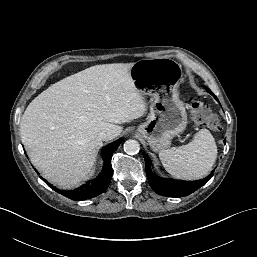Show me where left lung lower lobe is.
<instances>
[{
  "label": "left lung lower lobe",
  "instance_id": "1",
  "mask_svg": "<svg viewBox=\"0 0 257 257\" xmlns=\"http://www.w3.org/2000/svg\"><path fill=\"white\" fill-rule=\"evenodd\" d=\"M214 97L215 95L212 94ZM217 100V98L215 97ZM146 164V175L151 188L159 195L167 197H183L187 196L205 183L213 176V172L203 180L198 181H179L173 179H164L157 175H154L150 169L151 161L145 153H143Z\"/></svg>",
  "mask_w": 257,
  "mask_h": 257
}]
</instances>
